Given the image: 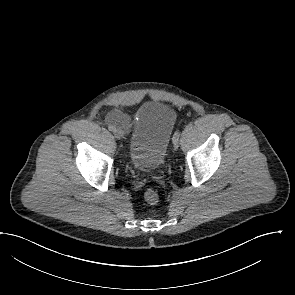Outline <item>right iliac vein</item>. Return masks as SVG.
Listing matches in <instances>:
<instances>
[{
    "mask_svg": "<svg viewBox=\"0 0 295 295\" xmlns=\"http://www.w3.org/2000/svg\"><path fill=\"white\" fill-rule=\"evenodd\" d=\"M113 134H114L115 138H117V139H122L123 136H124V133H123V131L120 128L115 129L113 131Z\"/></svg>",
    "mask_w": 295,
    "mask_h": 295,
    "instance_id": "right-iliac-vein-1",
    "label": "right iliac vein"
}]
</instances>
